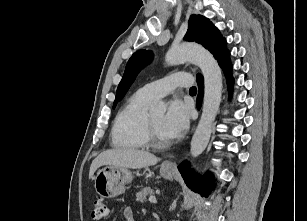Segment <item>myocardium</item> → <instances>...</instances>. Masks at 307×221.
Instances as JSON below:
<instances>
[{
  "mask_svg": "<svg viewBox=\"0 0 307 221\" xmlns=\"http://www.w3.org/2000/svg\"><path fill=\"white\" fill-rule=\"evenodd\" d=\"M145 142L147 146L153 149H162L169 145L168 140H161L159 138L150 114L146 117Z\"/></svg>",
  "mask_w": 307,
  "mask_h": 221,
  "instance_id": "1",
  "label": "myocardium"
}]
</instances>
